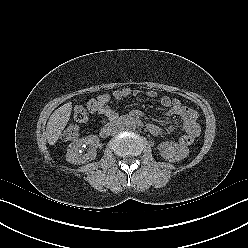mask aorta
Returning a JSON list of instances; mask_svg holds the SVG:
<instances>
[{"instance_id": "762f6f07", "label": "aorta", "mask_w": 248, "mask_h": 248, "mask_svg": "<svg viewBox=\"0 0 248 248\" xmlns=\"http://www.w3.org/2000/svg\"><path fill=\"white\" fill-rule=\"evenodd\" d=\"M136 128L135 121L131 120L126 123V129L127 130H134Z\"/></svg>"}]
</instances>
